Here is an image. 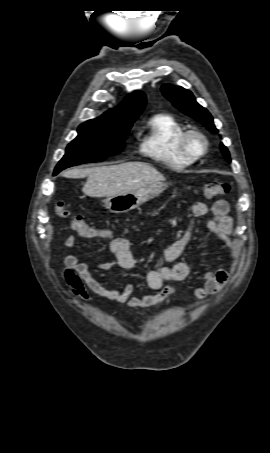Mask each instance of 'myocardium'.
Instances as JSON below:
<instances>
[{"label": "myocardium", "instance_id": "1", "mask_svg": "<svg viewBox=\"0 0 270 453\" xmlns=\"http://www.w3.org/2000/svg\"><path fill=\"white\" fill-rule=\"evenodd\" d=\"M193 138H198L202 141L203 146L200 150H195L191 146V140ZM179 147L181 151L189 158L197 160L203 157L209 149V141L205 134L197 129L185 130L179 137Z\"/></svg>", "mask_w": 270, "mask_h": 453}]
</instances>
